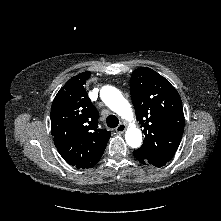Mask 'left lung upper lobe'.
I'll return each instance as SVG.
<instances>
[{"label":"left lung upper lobe","mask_w":221,"mask_h":221,"mask_svg":"<svg viewBox=\"0 0 221 221\" xmlns=\"http://www.w3.org/2000/svg\"><path fill=\"white\" fill-rule=\"evenodd\" d=\"M130 92L145 134L143 145L134 152L147 163L162 167L174 156L183 135L181 98L169 81L147 67L132 72Z\"/></svg>","instance_id":"obj_1"}]
</instances>
